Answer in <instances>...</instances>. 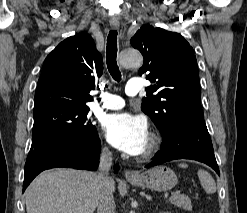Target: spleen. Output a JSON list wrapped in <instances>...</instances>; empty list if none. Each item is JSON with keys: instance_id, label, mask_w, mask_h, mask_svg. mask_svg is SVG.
Instances as JSON below:
<instances>
[{"instance_id": "3e777b00", "label": "spleen", "mask_w": 247, "mask_h": 213, "mask_svg": "<svg viewBox=\"0 0 247 213\" xmlns=\"http://www.w3.org/2000/svg\"><path fill=\"white\" fill-rule=\"evenodd\" d=\"M180 167L186 168V164H180ZM198 177L201 182L202 187L208 194H213L216 192V184L212 176L205 170H198Z\"/></svg>"}]
</instances>
